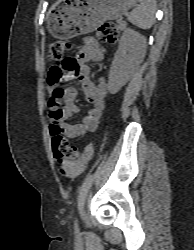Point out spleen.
I'll return each mask as SVG.
<instances>
[{
	"label": "spleen",
	"instance_id": "obj_1",
	"mask_svg": "<svg viewBox=\"0 0 194 250\" xmlns=\"http://www.w3.org/2000/svg\"><path fill=\"white\" fill-rule=\"evenodd\" d=\"M140 5L132 10L128 20L141 29H150L154 23L156 0H139Z\"/></svg>",
	"mask_w": 194,
	"mask_h": 250
}]
</instances>
